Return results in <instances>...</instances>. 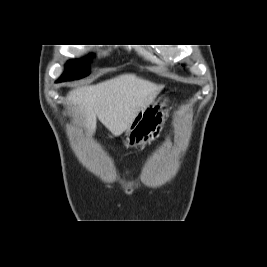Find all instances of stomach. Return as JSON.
I'll return each mask as SVG.
<instances>
[{
  "instance_id": "1",
  "label": "stomach",
  "mask_w": 267,
  "mask_h": 267,
  "mask_svg": "<svg viewBox=\"0 0 267 267\" xmlns=\"http://www.w3.org/2000/svg\"><path fill=\"white\" fill-rule=\"evenodd\" d=\"M166 102L162 97L155 99L137 114L124 134L127 148L145 145L159 137L168 116V110L164 109Z\"/></svg>"
}]
</instances>
